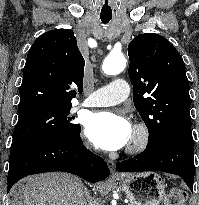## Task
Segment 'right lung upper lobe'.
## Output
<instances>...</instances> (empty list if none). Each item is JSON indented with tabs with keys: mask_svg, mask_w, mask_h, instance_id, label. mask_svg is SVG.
<instances>
[{
	"mask_svg": "<svg viewBox=\"0 0 199 205\" xmlns=\"http://www.w3.org/2000/svg\"><path fill=\"white\" fill-rule=\"evenodd\" d=\"M84 59L72 30L42 34L28 51L18 112L41 106L71 104L83 88Z\"/></svg>",
	"mask_w": 199,
	"mask_h": 205,
	"instance_id": "cb5924a9",
	"label": "right lung upper lobe"
}]
</instances>
